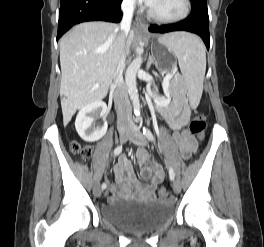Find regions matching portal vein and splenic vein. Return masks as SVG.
<instances>
[{
    "instance_id": "obj_1",
    "label": "portal vein and splenic vein",
    "mask_w": 264,
    "mask_h": 247,
    "mask_svg": "<svg viewBox=\"0 0 264 247\" xmlns=\"http://www.w3.org/2000/svg\"><path fill=\"white\" fill-rule=\"evenodd\" d=\"M177 71V67H174L171 73H167L164 77V81H169L175 74V72Z\"/></svg>"
}]
</instances>
